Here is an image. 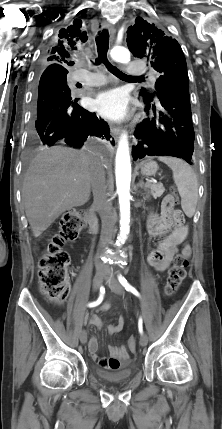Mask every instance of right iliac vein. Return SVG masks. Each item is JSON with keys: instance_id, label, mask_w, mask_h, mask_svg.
I'll return each mask as SVG.
<instances>
[{"instance_id": "right-iliac-vein-1", "label": "right iliac vein", "mask_w": 222, "mask_h": 429, "mask_svg": "<svg viewBox=\"0 0 222 429\" xmlns=\"http://www.w3.org/2000/svg\"><path fill=\"white\" fill-rule=\"evenodd\" d=\"M103 278H104V271L102 269H98L93 279L94 291H97L101 287ZM79 338L82 344H85L87 342V333L85 330H82L80 332Z\"/></svg>"}]
</instances>
